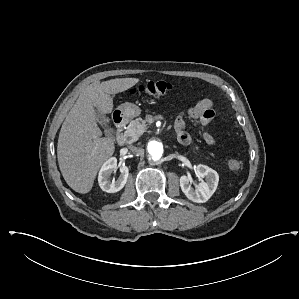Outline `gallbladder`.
Wrapping results in <instances>:
<instances>
[{
  "label": "gallbladder",
  "instance_id": "obj_1",
  "mask_svg": "<svg viewBox=\"0 0 299 299\" xmlns=\"http://www.w3.org/2000/svg\"><path fill=\"white\" fill-rule=\"evenodd\" d=\"M97 118L99 123L103 124L105 127H108L109 120L104 114L97 111Z\"/></svg>",
  "mask_w": 299,
  "mask_h": 299
}]
</instances>
